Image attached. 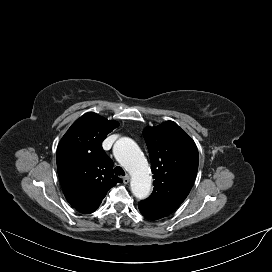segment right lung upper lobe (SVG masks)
Masks as SVG:
<instances>
[{
	"mask_svg": "<svg viewBox=\"0 0 272 272\" xmlns=\"http://www.w3.org/2000/svg\"><path fill=\"white\" fill-rule=\"evenodd\" d=\"M118 122L89 112L77 119L57 148V169L67 201L81 213H92L108 190L122 180L113 174V162L102 148Z\"/></svg>",
	"mask_w": 272,
	"mask_h": 272,
	"instance_id": "1",
	"label": "right lung upper lobe"
}]
</instances>
